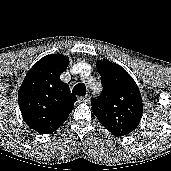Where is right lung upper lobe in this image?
<instances>
[{"label":"right lung upper lobe","mask_w":171,"mask_h":171,"mask_svg":"<svg viewBox=\"0 0 171 171\" xmlns=\"http://www.w3.org/2000/svg\"><path fill=\"white\" fill-rule=\"evenodd\" d=\"M68 63V58L61 54L45 56L29 70L19 89L23 119L40 134L56 131L73 110L76 97L60 80Z\"/></svg>","instance_id":"cb5924a9"}]
</instances>
